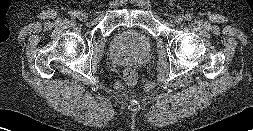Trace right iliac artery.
I'll list each match as a JSON object with an SVG mask.
<instances>
[{"mask_svg": "<svg viewBox=\"0 0 253 131\" xmlns=\"http://www.w3.org/2000/svg\"><path fill=\"white\" fill-rule=\"evenodd\" d=\"M78 14H79V13H78L77 11H75V10L70 12V16H71L72 18L78 17Z\"/></svg>", "mask_w": 253, "mask_h": 131, "instance_id": "1", "label": "right iliac artery"}]
</instances>
